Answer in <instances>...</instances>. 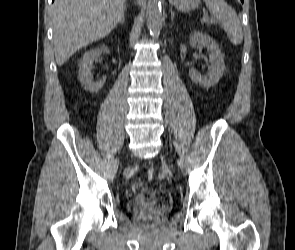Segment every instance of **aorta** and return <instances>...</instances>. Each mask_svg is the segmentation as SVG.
Wrapping results in <instances>:
<instances>
[{"instance_id":"aorta-1","label":"aorta","mask_w":295,"mask_h":250,"mask_svg":"<svg viewBox=\"0 0 295 250\" xmlns=\"http://www.w3.org/2000/svg\"><path fill=\"white\" fill-rule=\"evenodd\" d=\"M147 27L152 37H159L162 29V11L160 0H149L146 9Z\"/></svg>"}]
</instances>
